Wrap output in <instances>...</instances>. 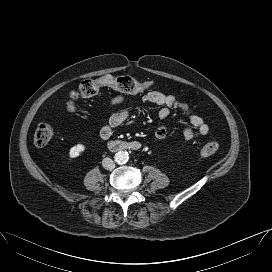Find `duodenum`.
Returning <instances> with one entry per match:
<instances>
[{"mask_svg": "<svg viewBox=\"0 0 272 272\" xmlns=\"http://www.w3.org/2000/svg\"><path fill=\"white\" fill-rule=\"evenodd\" d=\"M108 146L112 152L123 150L137 152L141 149V143L138 141L112 140L109 142Z\"/></svg>", "mask_w": 272, "mask_h": 272, "instance_id": "410a0bca", "label": "duodenum"}]
</instances>
